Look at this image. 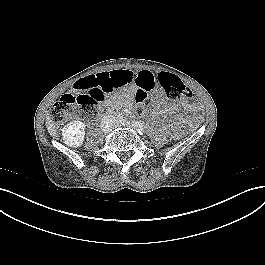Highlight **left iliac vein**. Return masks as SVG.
I'll return each instance as SVG.
<instances>
[{
  "mask_svg": "<svg viewBox=\"0 0 265 265\" xmlns=\"http://www.w3.org/2000/svg\"><path fill=\"white\" fill-rule=\"evenodd\" d=\"M116 126H127V127H132L133 124L130 121L124 120L121 123L117 124Z\"/></svg>",
  "mask_w": 265,
  "mask_h": 265,
  "instance_id": "obj_1",
  "label": "left iliac vein"
}]
</instances>
